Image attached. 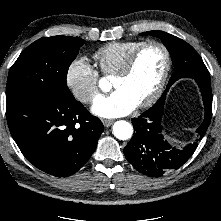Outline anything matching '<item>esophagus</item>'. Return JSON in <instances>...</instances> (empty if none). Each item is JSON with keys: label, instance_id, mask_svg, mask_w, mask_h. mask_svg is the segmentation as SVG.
I'll return each mask as SVG.
<instances>
[{"label": "esophagus", "instance_id": "obj_1", "mask_svg": "<svg viewBox=\"0 0 221 221\" xmlns=\"http://www.w3.org/2000/svg\"><path fill=\"white\" fill-rule=\"evenodd\" d=\"M102 122H103V125H104L105 127H109V126L112 125L113 120L103 119Z\"/></svg>", "mask_w": 221, "mask_h": 221}]
</instances>
